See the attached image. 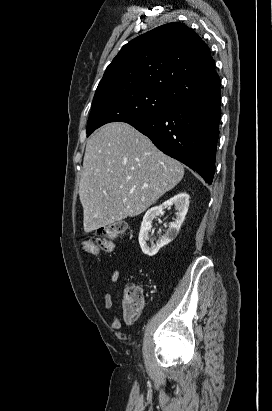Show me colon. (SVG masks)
Instances as JSON below:
<instances>
[{"instance_id":"obj_1","label":"colon","mask_w":272,"mask_h":411,"mask_svg":"<svg viewBox=\"0 0 272 411\" xmlns=\"http://www.w3.org/2000/svg\"><path fill=\"white\" fill-rule=\"evenodd\" d=\"M126 222L116 221L101 227L95 237L86 238L82 242L83 250L91 255L100 252H111L114 240L126 230ZM143 306V293L138 286H128L124 290L123 317L126 322L136 321Z\"/></svg>"}]
</instances>
